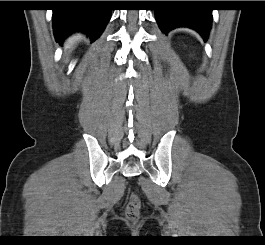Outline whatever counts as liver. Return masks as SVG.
Masks as SVG:
<instances>
[{"label": "liver", "instance_id": "6515ba94", "mask_svg": "<svg viewBox=\"0 0 265 245\" xmlns=\"http://www.w3.org/2000/svg\"><path fill=\"white\" fill-rule=\"evenodd\" d=\"M69 46L73 48V46H74V40H71V41L69 42Z\"/></svg>", "mask_w": 265, "mask_h": 245}]
</instances>
